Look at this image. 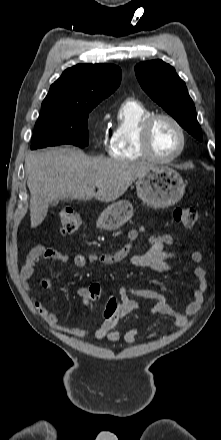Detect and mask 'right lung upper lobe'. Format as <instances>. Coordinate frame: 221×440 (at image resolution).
Here are the masks:
<instances>
[{
	"label": "right lung upper lobe",
	"mask_w": 221,
	"mask_h": 440,
	"mask_svg": "<svg viewBox=\"0 0 221 440\" xmlns=\"http://www.w3.org/2000/svg\"><path fill=\"white\" fill-rule=\"evenodd\" d=\"M121 75L112 64H78L62 73L43 102L97 105L118 88Z\"/></svg>",
	"instance_id": "1"
}]
</instances>
